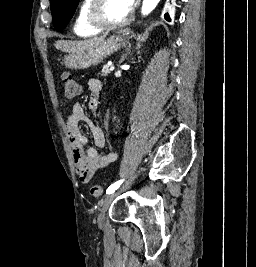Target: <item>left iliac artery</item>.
I'll return each mask as SVG.
<instances>
[{
  "instance_id": "left-iliac-artery-1",
  "label": "left iliac artery",
  "mask_w": 256,
  "mask_h": 267,
  "mask_svg": "<svg viewBox=\"0 0 256 267\" xmlns=\"http://www.w3.org/2000/svg\"><path fill=\"white\" fill-rule=\"evenodd\" d=\"M124 180H119L115 183H113L111 186H109V188L106 190V194H111L113 192H115V190H117L120 185L123 183Z\"/></svg>"
}]
</instances>
